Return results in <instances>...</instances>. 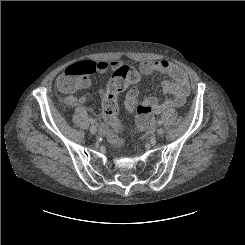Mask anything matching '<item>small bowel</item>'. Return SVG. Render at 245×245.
<instances>
[{
	"label": "small bowel",
	"instance_id": "c3829d8e",
	"mask_svg": "<svg viewBox=\"0 0 245 245\" xmlns=\"http://www.w3.org/2000/svg\"><path fill=\"white\" fill-rule=\"evenodd\" d=\"M96 64V72H106L110 71L112 73V77L123 69L125 66L120 60L114 59L111 61H97ZM139 71L143 76H149L153 73H162L169 76L172 80H166L162 83L163 92L168 95V97L164 101H159L155 97H149L144 100V103L149 104L155 113L159 114L164 110L172 107H180L182 106L186 98L189 94L190 87L189 81L186 73L177 65L167 61V60H155V61H144L139 65ZM67 76V72H63L58 76L56 80V84L60 91L65 92L59 86V83L62 79ZM112 79V78H111ZM85 87L90 84V80L85 77ZM110 83V82H109ZM109 89V84L101 90H99L98 95L102 100L106 97ZM66 93V92H65ZM89 96H80L76 97L71 94H67L64 96V101L69 106H78L85 104L89 101ZM140 102V91L137 86H132L127 91L124 104L128 111L133 112ZM101 131L103 134L107 133V128L105 126H101Z\"/></svg>",
	"mask_w": 245,
	"mask_h": 245
}]
</instances>
